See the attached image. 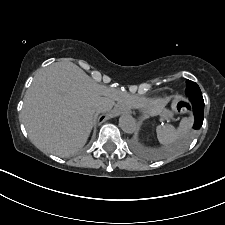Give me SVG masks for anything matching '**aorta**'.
<instances>
[{"label":"aorta","instance_id":"1","mask_svg":"<svg viewBox=\"0 0 225 225\" xmlns=\"http://www.w3.org/2000/svg\"><path fill=\"white\" fill-rule=\"evenodd\" d=\"M119 127L127 134H133L137 130L135 119L128 114L120 116Z\"/></svg>","mask_w":225,"mask_h":225}]
</instances>
